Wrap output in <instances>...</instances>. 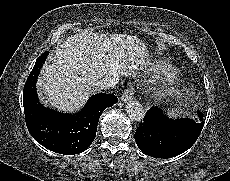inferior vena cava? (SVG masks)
Listing matches in <instances>:
<instances>
[{"mask_svg":"<svg viewBox=\"0 0 230 181\" xmlns=\"http://www.w3.org/2000/svg\"><path fill=\"white\" fill-rule=\"evenodd\" d=\"M118 83V79L115 77H104L95 81L92 84V90L94 92H100L102 90H111L113 89L116 84Z\"/></svg>","mask_w":230,"mask_h":181,"instance_id":"obj_1","label":"inferior vena cava"}]
</instances>
